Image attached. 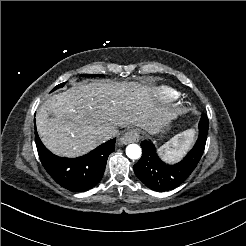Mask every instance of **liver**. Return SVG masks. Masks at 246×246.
<instances>
[{
	"label": "liver",
	"instance_id": "6515ba94",
	"mask_svg": "<svg viewBox=\"0 0 246 246\" xmlns=\"http://www.w3.org/2000/svg\"><path fill=\"white\" fill-rule=\"evenodd\" d=\"M156 115L145 88L135 83L92 82L54 95L37 112L36 125L51 152L77 157L108 140L110 130L129 125L147 129Z\"/></svg>",
	"mask_w": 246,
	"mask_h": 246
}]
</instances>
